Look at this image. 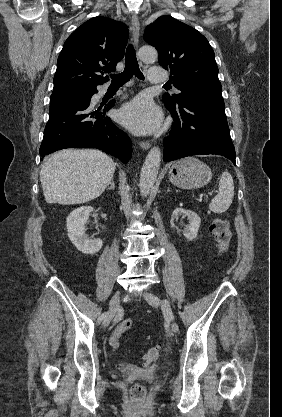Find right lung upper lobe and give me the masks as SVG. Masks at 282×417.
Here are the masks:
<instances>
[{
	"label": "right lung upper lobe",
	"mask_w": 282,
	"mask_h": 417,
	"mask_svg": "<svg viewBox=\"0 0 282 417\" xmlns=\"http://www.w3.org/2000/svg\"><path fill=\"white\" fill-rule=\"evenodd\" d=\"M127 40L128 29L121 22L101 16L86 21L64 43L57 60L53 94L95 90L107 82L103 70L115 71Z\"/></svg>",
	"instance_id": "obj_1"
}]
</instances>
